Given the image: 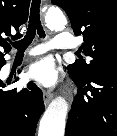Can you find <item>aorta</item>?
<instances>
[{
  "label": "aorta",
  "instance_id": "762f6f07",
  "mask_svg": "<svg viewBox=\"0 0 117 136\" xmlns=\"http://www.w3.org/2000/svg\"><path fill=\"white\" fill-rule=\"evenodd\" d=\"M47 25L55 30H63L67 20L59 9H50L45 17ZM68 104L59 97L51 102L40 120L38 136H64Z\"/></svg>",
  "mask_w": 117,
  "mask_h": 136
}]
</instances>
